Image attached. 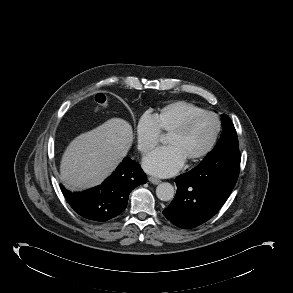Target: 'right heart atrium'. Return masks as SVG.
<instances>
[{
    "label": "right heart atrium",
    "instance_id": "1",
    "mask_svg": "<svg viewBox=\"0 0 293 293\" xmlns=\"http://www.w3.org/2000/svg\"><path fill=\"white\" fill-rule=\"evenodd\" d=\"M135 131L137 147L142 154L150 152L158 145L161 132L152 114H142L136 123Z\"/></svg>",
    "mask_w": 293,
    "mask_h": 293
}]
</instances>
